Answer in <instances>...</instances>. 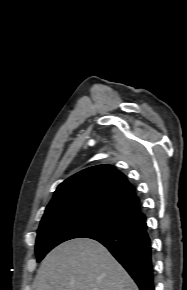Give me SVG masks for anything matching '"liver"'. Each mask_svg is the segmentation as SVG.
<instances>
[{
	"label": "liver",
	"instance_id": "liver-1",
	"mask_svg": "<svg viewBox=\"0 0 187 290\" xmlns=\"http://www.w3.org/2000/svg\"><path fill=\"white\" fill-rule=\"evenodd\" d=\"M35 290H139L99 242L77 238L50 251L38 269Z\"/></svg>",
	"mask_w": 187,
	"mask_h": 290
}]
</instances>
